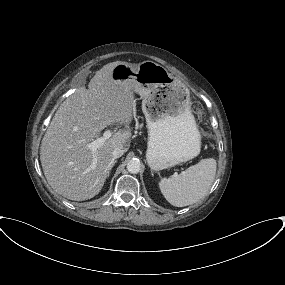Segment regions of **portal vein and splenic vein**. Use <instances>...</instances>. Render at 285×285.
<instances>
[{
    "instance_id": "1",
    "label": "portal vein and splenic vein",
    "mask_w": 285,
    "mask_h": 285,
    "mask_svg": "<svg viewBox=\"0 0 285 285\" xmlns=\"http://www.w3.org/2000/svg\"><path fill=\"white\" fill-rule=\"evenodd\" d=\"M112 136V132L110 130H107L104 132L103 136L95 139L91 143H88L86 147L90 149L93 153L96 152V150L102 146L106 140H108ZM93 165H95V160L93 162Z\"/></svg>"
}]
</instances>
